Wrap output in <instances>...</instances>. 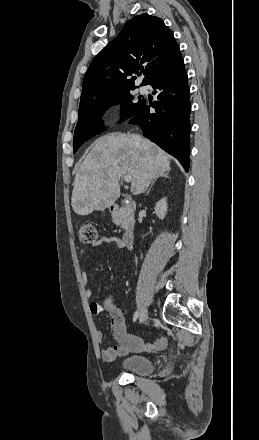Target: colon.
<instances>
[{
  "mask_svg": "<svg viewBox=\"0 0 259 440\" xmlns=\"http://www.w3.org/2000/svg\"><path fill=\"white\" fill-rule=\"evenodd\" d=\"M79 239L82 243L90 244L97 239V232L90 222H83L79 227Z\"/></svg>",
  "mask_w": 259,
  "mask_h": 440,
  "instance_id": "obj_1",
  "label": "colon"
}]
</instances>
